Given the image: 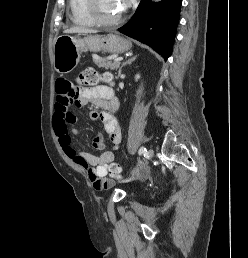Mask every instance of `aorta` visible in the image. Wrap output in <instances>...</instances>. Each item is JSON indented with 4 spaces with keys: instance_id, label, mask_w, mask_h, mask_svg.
I'll use <instances>...</instances> for the list:
<instances>
[{
    "instance_id": "obj_1",
    "label": "aorta",
    "mask_w": 248,
    "mask_h": 258,
    "mask_svg": "<svg viewBox=\"0 0 248 258\" xmlns=\"http://www.w3.org/2000/svg\"><path fill=\"white\" fill-rule=\"evenodd\" d=\"M154 1L158 2V1H160V0H154Z\"/></svg>"
}]
</instances>
